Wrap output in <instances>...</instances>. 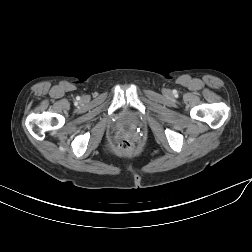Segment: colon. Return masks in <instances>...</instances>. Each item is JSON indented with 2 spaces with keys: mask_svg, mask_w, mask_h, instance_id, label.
Listing matches in <instances>:
<instances>
[{
  "mask_svg": "<svg viewBox=\"0 0 252 252\" xmlns=\"http://www.w3.org/2000/svg\"><path fill=\"white\" fill-rule=\"evenodd\" d=\"M117 151L121 154H132L135 151V144L130 139H120L117 143Z\"/></svg>",
  "mask_w": 252,
  "mask_h": 252,
  "instance_id": "obj_1",
  "label": "colon"
}]
</instances>
